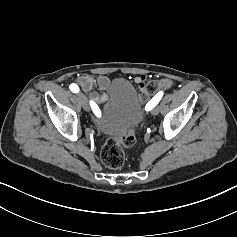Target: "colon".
I'll use <instances>...</instances> for the list:
<instances>
[{
    "instance_id": "obj_1",
    "label": "colon",
    "mask_w": 237,
    "mask_h": 237,
    "mask_svg": "<svg viewBox=\"0 0 237 237\" xmlns=\"http://www.w3.org/2000/svg\"><path fill=\"white\" fill-rule=\"evenodd\" d=\"M158 81H150L145 86L147 96L154 94L159 88ZM136 137L134 129L128 131L120 139L108 138L100 153L102 162L111 169H119L125 159L123 148L131 147L135 144Z\"/></svg>"
}]
</instances>
